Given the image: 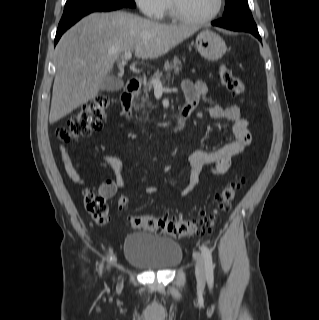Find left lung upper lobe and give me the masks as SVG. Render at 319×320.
Returning <instances> with one entry per match:
<instances>
[{
	"mask_svg": "<svg viewBox=\"0 0 319 320\" xmlns=\"http://www.w3.org/2000/svg\"><path fill=\"white\" fill-rule=\"evenodd\" d=\"M223 16L224 18L238 16L253 19L247 0H226Z\"/></svg>",
	"mask_w": 319,
	"mask_h": 320,
	"instance_id": "obj_1",
	"label": "left lung upper lobe"
}]
</instances>
